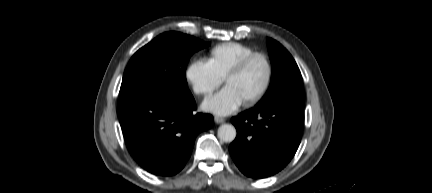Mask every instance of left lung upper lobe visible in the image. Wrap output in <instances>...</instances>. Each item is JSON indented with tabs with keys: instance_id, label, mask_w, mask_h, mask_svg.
<instances>
[{
	"instance_id": "5c2ea615",
	"label": "left lung upper lobe",
	"mask_w": 432,
	"mask_h": 193,
	"mask_svg": "<svg viewBox=\"0 0 432 193\" xmlns=\"http://www.w3.org/2000/svg\"><path fill=\"white\" fill-rule=\"evenodd\" d=\"M272 76L269 90L257 106L273 103L304 107L300 70L290 53L277 41L267 38Z\"/></svg>"
}]
</instances>
